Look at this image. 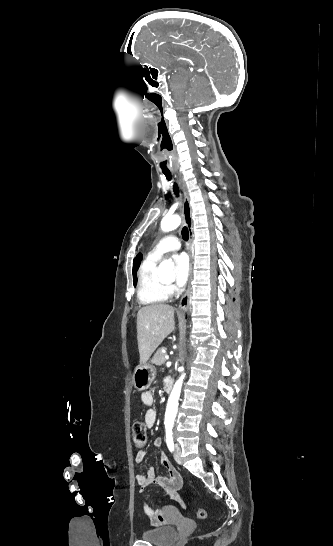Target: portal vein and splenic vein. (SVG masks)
Returning <instances> with one entry per match:
<instances>
[{
    "instance_id": "18ae733b",
    "label": "portal vein and splenic vein",
    "mask_w": 333,
    "mask_h": 546,
    "mask_svg": "<svg viewBox=\"0 0 333 546\" xmlns=\"http://www.w3.org/2000/svg\"><path fill=\"white\" fill-rule=\"evenodd\" d=\"M165 359H167V360L169 359V356L167 354L165 355Z\"/></svg>"
}]
</instances>
